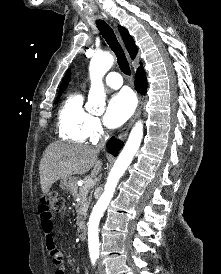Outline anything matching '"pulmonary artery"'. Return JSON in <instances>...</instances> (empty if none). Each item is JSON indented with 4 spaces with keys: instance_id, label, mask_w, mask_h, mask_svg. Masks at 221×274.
Instances as JSON below:
<instances>
[{
    "instance_id": "obj_1",
    "label": "pulmonary artery",
    "mask_w": 221,
    "mask_h": 274,
    "mask_svg": "<svg viewBox=\"0 0 221 274\" xmlns=\"http://www.w3.org/2000/svg\"><path fill=\"white\" fill-rule=\"evenodd\" d=\"M105 84L112 89H118L122 86L123 81L119 73L110 72L105 78Z\"/></svg>"
}]
</instances>
